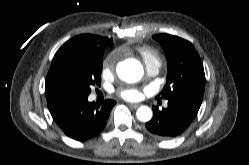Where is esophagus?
Returning <instances> with one entry per match:
<instances>
[{
  "mask_svg": "<svg viewBox=\"0 0 249 165\" xmlns=\"http://www.w3.org/2000/svg\"><path fill=\"white\" fill-rule=\"evenodd\" d=\"M127 105H128L129 107H131V108H134V109H136V108L139 107V104H136V103H127Z\"/></svg>",
  "mask_w": 249,
  "mask_h": 165,
  "instance_id": "34e87169",
  "label": "esophagus"
}]
</instances>
